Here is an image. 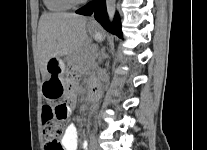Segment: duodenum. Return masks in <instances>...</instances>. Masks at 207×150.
Masks as SVG:
<instances>
[{
  "instance_id": "duodenum-1",
  "label": "duodenum",
  "mask_w": 207,
  "mask_h": 150,
  "mask_svg": "<svg viewBox=\"0 0 207 150\" xmlns=\"http://www.w3.org/2000/svg\"><path fill=\"white\" fill-rule=\"evenodd\" d=\"M90 90H91V98L94 99L98 90L97 84L95 82L91 83Z\"/></svg>"
}]
</instances>
